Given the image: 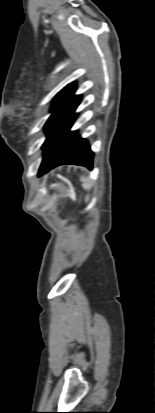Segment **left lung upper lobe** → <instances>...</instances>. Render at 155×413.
Wrapping results in <instances>:
<instances>
[{"label": "left lung upper lobe", "instance_id": "obj_1", "mask_svg": "<svg viewBox=\"0 0 155 413\" xmlns=\"http://www.w3.org/2000/svg\"><path fill=\"white\" fill-rule=\"evenodd\" d=\"M75 90V83H71L53 99L52 114L45 124L47 138L42 146L44 150L42 163L61 150L62 146L58 141L64 133L69 131L77 117L75 110L81 101V96L74 95Z\"/></svg>", "mask_w": 155, "mask_h": 413}]
</instances>
